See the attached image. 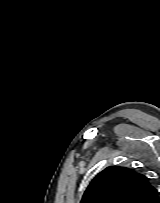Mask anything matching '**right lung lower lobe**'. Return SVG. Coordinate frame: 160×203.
Returning <instances> with one entry per match:
<instances>
[{"instance_id": "right-lung-lower-lobe-1", "label": "right lung lower lobe", "mask_w": 160, "mask_h": 203, "mask_svg": "<svg viewBox=\"0 0 160 203\" xmlns=\"http://www.w3.org/2000/svg\"><path fill=\"white\" fill-rule=\"evenodd\" d=\"M159 197H158V194H157V199H156V201L154 202V203H159Z\"/></svg>"}]
</instances>
